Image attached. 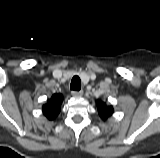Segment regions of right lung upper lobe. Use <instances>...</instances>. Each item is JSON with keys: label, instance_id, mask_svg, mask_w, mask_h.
Masks as SVG:
<instances>
[{"label": "right lung upper lobe", "instance_id": "obj_1", "mask_svg": "<svg viewBox=\"0 0 160 158\" xmlns=\"http://www.w3.org/2000/svg\"><path fill=\"white\" fill-rule=\"evenodd\" d=\"M63 101L62 94H54L45 105H43V114L48 120H53L57 117L61 110V104Z\"/></svg>", "mask_w": 160, "mask_h": 158}]
</instances>
